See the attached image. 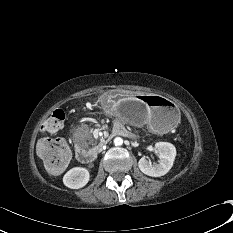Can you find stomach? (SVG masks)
Here are the masks:
<instances>
[{
  "label": "stomach",
  "mask_w": 233,
  "mask_h": 233,
  "mask_svg": "<svg viewBox=\"0 0 233 233\" xmlns=\"http://www.w3.org/2000/svg\"><path fill=\"white\" fill-rule=\"evenodd\" d=\"M106 110L134 126H148L154 132H169L180 119V110L170 99L161 95L107 97Z\"/></svg>",
  "instance_id": "obj_1"
}]
</instances>
